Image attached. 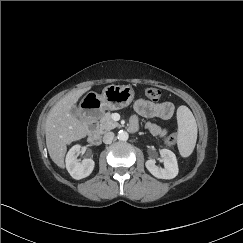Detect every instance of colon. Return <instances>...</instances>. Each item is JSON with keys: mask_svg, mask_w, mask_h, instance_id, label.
Instances as JSON below:
<instances>
[{"mask_svg": "<svg viewBox=\"0 0 243 243\" xmlns=\"http://www.w3.org/2000/svg\"><path fill=\"white\" fill-rule=\"evenodd\" d=\"M145 95L152 101L156 102L161 98V91L155 87H148L145 89ZM176 137L173 134L168 135L164 142L166 145H174L176 143Z\"/></svg>", "mask_w": 243, "mask_h": 243, "instance_id": "obj_1", "label": "colon"}]
</instances>
